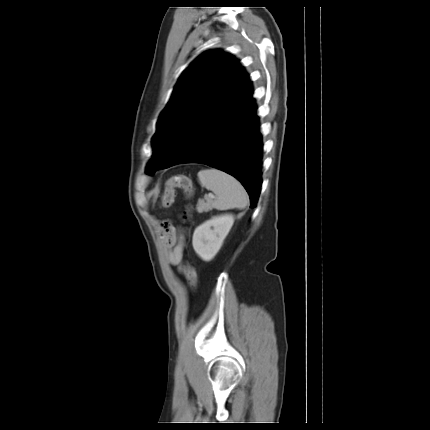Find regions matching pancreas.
<instances>
[{"mask_svg":"<svg viewBox=\"0 0 430 430\" xmlns=\"http://www.w3.org/2000/svg\"><path fill=\"white\" fill-rule=\"evenodd\" d=\"M211 202V198H206V202L204 200H199L196 206L197 212L203 213L212 210Z\"/></svg>","mask_w":430,"mask_h":430,"instance_id":"pancreas-1","label":"pancreas"}]
</instances>
